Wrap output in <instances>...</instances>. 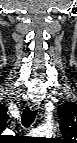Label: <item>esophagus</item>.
<instances>
[{
	"label": "esophagus",
	"mask_w": 77,
	"mask_h": 143,
	"mask_svg": "<svg viewBox=\"0 0 77 143\" xmlns=\"http://www.w3.org/2000/svg\"><path fill=\"white\" fill-rule=\"evenodd\" d=\"M30 108H31L32 110H37V109L40 108V104L37 103V102H33L32 104H30Z\"/></svg>",
	"instance_id": "34e87169"
}]
</instances>
